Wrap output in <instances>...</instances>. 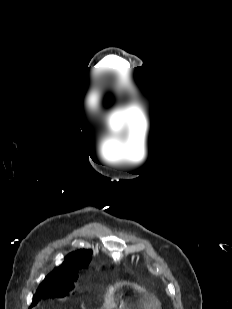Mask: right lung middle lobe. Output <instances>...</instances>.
Returning a JSON list of instances; mask_svg holds the SVG:
<instances>
[{
  "label": "right lung middle lobe",
  "mask_w": 232,
  "mask_h": 309,
  "mask_svg": "<svg viewBox=\"0 0 232 309\" xmlns=\"http://www.w3.org/2000/svg\"><path fill=\"white\" fill-rule=\"evenodd\" d=\"M74 282L41 283L33 296L31 304L35 306L41 299L49 297H64L73 289Z\"/></svg>",
  "instance_id": "right-lung-middle-lobe-1"
}]
</instances>
